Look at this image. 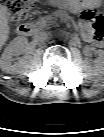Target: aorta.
Listing matches in <instances>:
<instances>
[{
    "label": "aorta",
    "instance_id": "1",
    "mask_svg": "<svg viewBox=\"0 0 104 137\" xmlns=\"http://www.w3.org/2000/svg\"><path fill=\"white\" fill-rule=\"evenodd\" d=\"M57 37H58L59 39H64V38L66 37V32H65L64 30H59V31L57 32Z\"/></svg>",
    "mask_w": 104,
    "mask_h": 137
}]
</instances>
